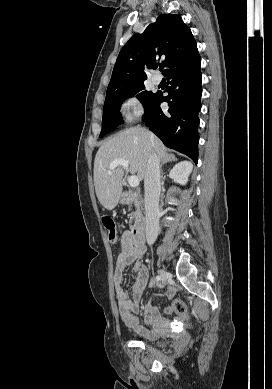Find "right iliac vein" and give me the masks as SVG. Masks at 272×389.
I'll return each mask as SVG.
<instances>
[{
	"mask_svg": "<svg viewBox=\"0 0 272 389\" xmlns=\"http://www.w3.org/2000/svg\"><path fill=\"white\" fill-rule=\"evenodd\" d=\"M159 276L161 277V280H162L163 282H165V281L168 279L169 274H168V272H166L165 270L160 269V270H159Z\"/></svg>",
	"mask_w": 272,
	"mask_h": 389,
	"instance_id": "1",
	"label": "right iliac vein"
}]
</instances>
